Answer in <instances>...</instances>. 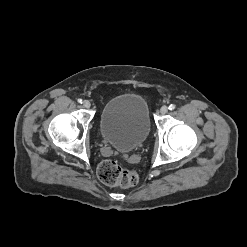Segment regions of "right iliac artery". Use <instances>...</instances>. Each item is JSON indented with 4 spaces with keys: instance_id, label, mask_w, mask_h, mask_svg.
Returning a JSON list of instances; mask_svg holds the SVG:
<instances>
[{
    "instance_id": "right-iliac-artery-1",
    "label": "right iliac artery",
    "mask_w": 247,
    "mask_h": 247,
    "mask_svg": "<svg viewBox=\"0 0 247 247\" xmlns=\"http://www.w3.org/2000/svg\"><path fill=\"white\" fill-rule=\"evenodd\" d=\"M78 102L82 104V99H78Z\"/></svg>"
}]
</instances>
